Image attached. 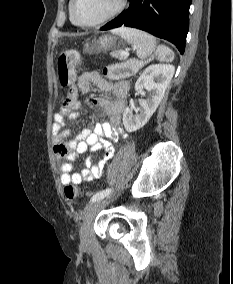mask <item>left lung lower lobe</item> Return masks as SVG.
I'll return each instance as SVG.
<instances>
[{"mask_svg":"<svg viewBox=\"0 0 233 284\" xmlns=\"http://www.w3.org/2000/svg\"><path fill=\"white\" fill-rule=\"evenodd\" d=\"M190 5L191 0H130L129 8L101 30L138 28L170 41L183 54Z\"/></svg>","mask_w":233,"mask_h":284,"instance_id":"1","label":"left lung lower lobe"}]
</instances>
